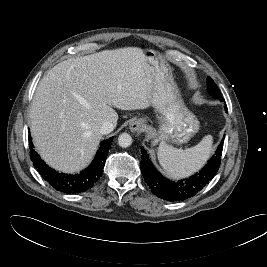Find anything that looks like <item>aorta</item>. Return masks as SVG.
Wrapping results in <instances>:
<instances>
[{"label":"aorta","instance_id":"762f6f07","mask_svg":"<svg viewBox=\"0 0 267 267\" xmlns=\"http://www.w3.org/2000/svg\"><path fill=\"white\" fill-rule=\"evenodd\" d=\"M118 144L122 148L129 147L132 144V137L128 133H122L118 137Z\"/></svg>","mask_w":267,"mask_h":267}]
</instances>
